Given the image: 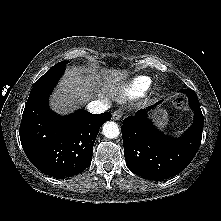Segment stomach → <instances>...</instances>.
I'll return each mask as SVG.
<instances>
[{
    "instance_id": "stomach-1",
    "label": "stomach",
    "mask_w": 221,
    "mask_h": 221,
    "mask_svg": "<svg viewBox=\"0 0 221 221\" xmlns=\"http://www.w3.org/2000/svg\"><path fill=\"white\" fill-rule=\"evenodd\" d=\"M154 121L159 128H165L168 123L167 112L163 109H159L158 111H156V113L154 114Z\"/></svg>"
}]
</instances>
